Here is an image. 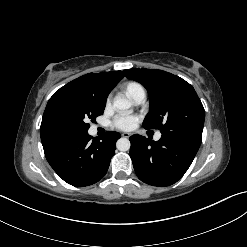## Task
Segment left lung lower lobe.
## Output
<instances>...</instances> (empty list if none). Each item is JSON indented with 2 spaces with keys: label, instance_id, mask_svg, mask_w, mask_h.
<instances>
[{
  "label": "left lung lower lobe",
  "instance_id": "left-lung-lower-lobe-1",
  "mask_svg": "<svg viewBox=\"0 0 247 247\" xmlns=\"http://www.w3.org/2000/svg\"><path fill=\"white\" fill-rule=\"evenodd\" d=\"M130 157L138 178L153 186L177 182L190 167L200 144L177 135L152 141L141 135L130 137Z\"/></svg>",
  "mask_w": 247,
  "mask_h": 247
}]
</instances>
